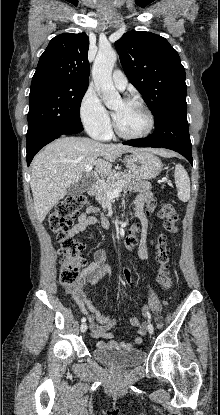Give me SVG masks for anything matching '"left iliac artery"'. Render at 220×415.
I'll return each instance as SVG.
<instances>
[{
  "label": "left iliac artery",
  "mask_w": 220,
  "mask_h": 415,
  "mask_svg": "<svg viewBox=\"0 0 220 415\" xmlns=\"http://www.w3.org/2000/svg\"><path fill=\"white\" fill-rule=\"evenodd\" d=\"M143 310H144L145 314L147 315L148 319H149V320H151V314H150V312L148 311V308H147L146 306H144V307H143Z\"/></svg>",
  "instance_id": "44dca946"
}]
</instances>
